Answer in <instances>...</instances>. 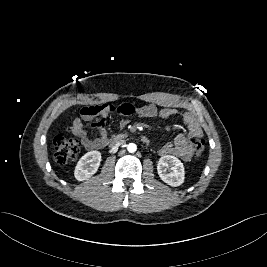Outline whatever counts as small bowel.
<instances>
[{
  "label": "small bowel",
  "mask_w": 267,
  "mask_h": 267,
  "mask_svg": "<svg viewBox=\"0 0 267 267\" xmlns=\"http://www.w3.org/2000/svg\"><path fill=\"white\" fill-rule=\"evenodd\" d=\"M110 112H116L123 117L119 122L120 126L125 125V117L131 115L144 118L159 117L162 119H168L178 115L177 110L174 108L164 107L159 109L154 104H147L138 108L128 103L119 106H112L104 103L83 107L80 111V116L75 118L71 131L75 136L81 139L86 149H101L108 143V132L103 128V124ZM181 119L187 134L177 135L174 141L165 144L160 149L159 153L162 156L172 155L184 161H188L193 154L190 139L192 137L201 138L203 131L193 114L184 113ZM87 126L98 130V137L88 138L85 130Z\"/></svg>",
  "instance_id": "c3829d8e"
}]
</instances>
